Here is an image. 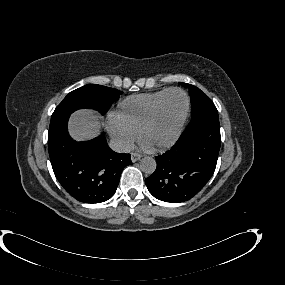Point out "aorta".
I'll return each instance as SVG.
<instances>
[{
    "instance_id": "762f6f07",
    "label": "aorta",
    "mask_w": 285,
    "mask_h": 285,
    "mask_svg": "<svg viewBox=\"0 0 285 285\" xmlns=\"http://www.w3.org/2000/svg\"><path fill=\"white\" fill-rule=\"evenodd\" d=\"M157 164L153 157H143L140 161V169L146 174H152L156 170Z\"/></svg>"
}]
</instances>
